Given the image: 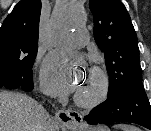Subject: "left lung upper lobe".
<instances>
[{
	"label": "left lung upper lobe",
	"instance_id": "5c2ea615",
	"mask_svg": "<svg viewBox=\"0 0 151 131\" xmlns=\"http://www.w3.org/2000/svg\"><path fill=\"white\" fill-rule=\"evenodd\" d=\"M94 37L109 74L108 97L133 82H142L138 39L131 18L120 0H90Z\"/></svg>",
	"mask_w": 151,
	"mask_h": 131
}]
</instances>
